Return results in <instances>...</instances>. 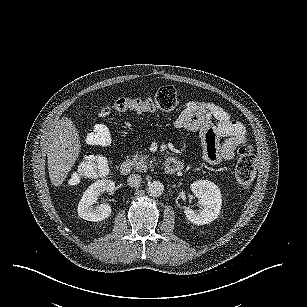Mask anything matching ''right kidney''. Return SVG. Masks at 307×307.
<instances>
[{
	"label": "right kidney",
	"instance_id": "obj_1",
	"mask_svg": "<svg viewBox=\"0 0 307 307\" xmlns=\"http://www.w3.org/2000/svg\"><path fill=\"white\" fill-rule=\"evenodd\" d=\"M115 183L111 180H99L91 184L84 192L77 206L78 216L84 220L96 222L109 217L111 214V205L101 203L93 207L102 192L113 193Z\"/></svg>",
	"mask_w": 307,
	"mask_h": 307
}]
</instances>
